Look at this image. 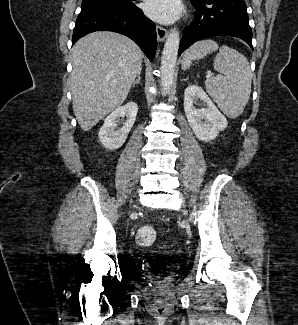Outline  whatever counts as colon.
Here are the masks:
<instances>
[{
	"mask_svg": "<svg viewBox=\"0 0 298 325\" xmlns=\"http://www.w3.org/2000/svg\"><path fill=\"white\" fill-rule=\"evenodd\" d=\"M157 232L152 226L146 225L141 227L136 233V242L138 245L147 247L155 243Z\"/></svg>",
	"mask_w": 298,
	"mask_h": 325,
	"instance_id": "obj_1",
	"label": "colon"
}]
</instances>
